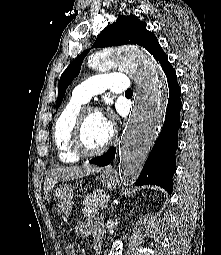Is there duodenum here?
<instances>
[{
    "instance_id": "1",
    "label": "duodenum",
    "mask_w": 221,
    "mask_h": 255,
    "mask_svg": "<svg viewBox=\"0 0 221 255\" xmlns=\"http://www.w3.org/2000/svg\"><path fill=\"white\" fill-rule=\"evenodd\" d=\"M102 248H103V240H102V238L96 237L94 239V250H95L96 255H99L101 253Z\"/></svg>"
}]
</instances>
